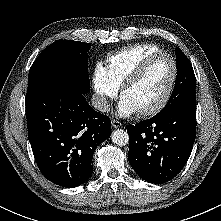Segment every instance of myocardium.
Here are the masks:
<instances>
[{"mask_svg": "<svg viewBox=\"0 0 221 221\" xmlns=\"http://www.w3.org/2000/svg\"><path fill=\"white\" fill-rule=\"evenodd\" d=\"M159 57H167L171 61L172 68H173L172 76H171V80L169 82V85H168L164 95L159 100V102L156 105L152 106L151 108L138 111V113L141 116H144V117L152 116V115H155V114L159 113L160 111H162L165 108V106L170 101V99L173 95L175 86H176V82H177V79H178V73H179L178 64H177L176 59L173 57L172 54H170L168 52H165V51H159V52L149 54L147 57H145L140 63H138L131 70V72L128 74V76L125 78L124 82L121 85L120 93L123 96L125 91L137 82V80L145 72L147 67L155 59H157Z\"/></svg>", "mask_w": 221, "mask_h": 221, "instance_id": "myocardium-1", "label": "myocardium"}]
</instances>
